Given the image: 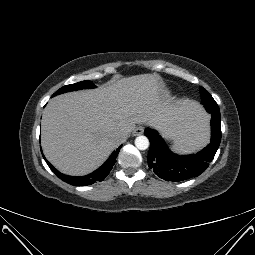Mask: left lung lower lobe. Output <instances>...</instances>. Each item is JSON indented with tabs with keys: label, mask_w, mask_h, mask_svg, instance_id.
<instances>
[{
	"label": "left lung lower lobe",
	"mask_w": 255,
	"mask_h": 255,
	"mask_svg": "<svg viewBox=\"0 0 255 255\" xmlns=\"http://www.w3.org/2000/svg\"><path fill=\"white\" fill-rule=\"evenodd\" d=\"M211 114V141L197 154L179 156L169 150L161 136L153 129L146 128L150 141L148 153L149 167L156 175L166 181H183L203 173L213 160L221 141L220 111L213 109V102L202 103Z\"/></svg>",
	"instance_id": "1"
}]
</instances>
